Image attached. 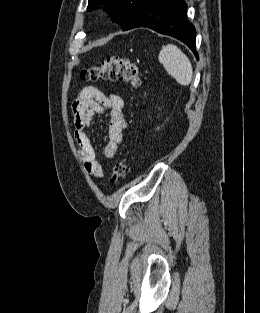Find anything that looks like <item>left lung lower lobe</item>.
Here are the masks:
<instances>
[{"label": "left lung lower lobe", "mask_w": 260, "mask_h": 313, "mask_svg": "<svg viewBox=\"0 0 260 313\" xmlns=\"http://www.w3.org/2000/svg\"><path fill=\"white\" fill-rule=\"evenodd\" d=\"M184 0H152L125 29L147 27L184 42L195 54V28L186 18Z\"/></svg>", "instance_id": "1"}]
</instances>
